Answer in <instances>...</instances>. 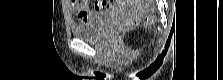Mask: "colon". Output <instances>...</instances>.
<instances>
[{"mask_svg": "<svg viewBox=\"0 0 223 80\" xmlns=\"http://www.w3.org/2000/svg\"><path fill=\"white\" fill-rule=\"evenodd\" d=\"M74 2H78V3H84V2H79L77 0H72ZM154 22V17L152 15H147L143 18H140L137 22V25H149L152 24ZM132 25H127L126 28L131 27Z\"/></svg>", "mask_w": 223, "mask_h": 80, "instance_id": "1", "label": "colon"}]
</instances>
